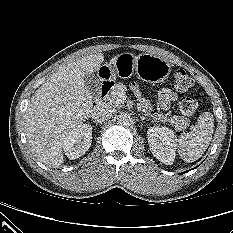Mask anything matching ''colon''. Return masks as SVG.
Returning a JSON list of instances; mask_svg holds the SVG:
<instances>
[{
  "label": "colon",
  "mask_w": 233,
  "mask_h": 233,
  "mask_svg": "<svg viewBox=\"0 0 233 233\" xmlns=\"http://www.w3.org/2000/svg\"><path fill=\"white\" fill-rule=\"evenodd\" d=\"M174 86L178 91L185 92L193 85V79L184 71L177 70L173 76ZM198 102L191 97H182L179 102V109L182 115L191 117L198 111Z\"/></svg>",
  "instance_id": "obj_1"
}]
</instances>
